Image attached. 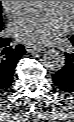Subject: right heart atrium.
<instances>
[{
  "instance_id": "d8ad5b80",
  "label": "right heart atrium",
  "mask_w": 74,
  "mask_h": 122,
  "mask_svg": "<svg viewBox=\"0 0 74 122\" xmlns=\"http://www.w3.org/2000/svg\"><path fill=\"white\" fill-rule=\"evenodd\" d=\"M1 3L9 15H16L22 9L24 1H1Z\"/></svg>"
}]
</instances>
